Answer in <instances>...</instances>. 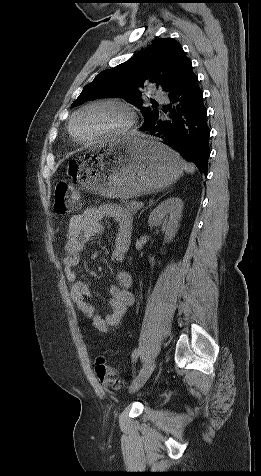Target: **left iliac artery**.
<instances>
[{
  "label": "left iliac artery",
  "instance_id": "left-iliac-artery-1",
  "mask_svg": "<svg viewBox=\"0 0 261 476\" xmlns=\"http://www.w3.org/2000/svg\"><path fill=\"white\" fill-rule=\"evenodd\" d=\"M140 354H141V349H139V348H138V349H135V350L133 351V353H132V358H133V360L135 361V360L138 358V356H139Z\"/></svg>",
  "mask_w": 261,
  "mask_h": 476
}]
</instances>
